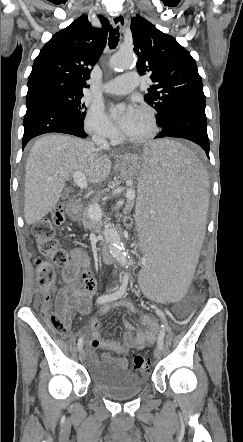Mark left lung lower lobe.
Returning <instances> with one entry per match:
<instances>
[{
    "instance_id": "obj_1",
    "label": "left lung lower lobe",
    "mask_w": 243,
    "mask_h": 442,
    "mask_svg": "<svg viewBox=\"0 0 243 442\" xmlns=\"http://www.w3.org/2000/svg\"><path fill=\"white\" fill-rule=\"evenodd\" d=\"M162 132L155 138L177 137L201 146L209 157L205 96L191 95L178 100L159 123Z\"/></svg>"
}]
</instances>
